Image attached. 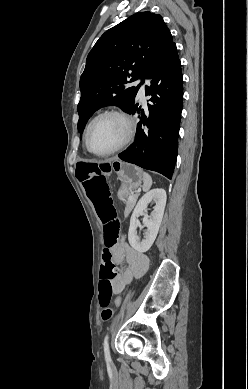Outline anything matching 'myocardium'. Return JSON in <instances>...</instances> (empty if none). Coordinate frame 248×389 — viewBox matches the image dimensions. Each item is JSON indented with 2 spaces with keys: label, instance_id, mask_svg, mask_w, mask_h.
Returning a JSON list of instances; mask_svg holds the SVG:
<instances>
[{
  "label": "myocardium",
  "instance_id": "f54148a6",
  "mask_svg": "<svg viewBox=\"0 0 248 389\" xmlns=\"http://www.w3.org/2000/svg\"><path fill=\"white\" fill-rule=\"evenodd\" d=\"M106 116L117 117L124 123L125 129H126L125 136L122 139V141L118 145L113 147L112 149L105 151V152H96V151H93L89 146V133H90L91 127L94 125V123L96 121H98L99 119L106 117ZM135 131H136L135 123H134L133 119L126 112H124L120 109H115V108L107 109V110H104V111L100 112L99 114H97L88 123L86 130H85V135H84L85 146L90 153H92L96 156H99V157L110 156V155L122 150L126 146H128L132 142V140L135 136Z\"/></svg>",
  "mask_w": 248,
  "mask_h": 389
}]
</instances>
